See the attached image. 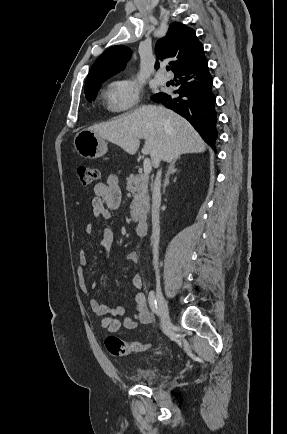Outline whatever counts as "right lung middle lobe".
<instances>
[{"instance_id": "dd1d6c3e", "label": "right lung middle lobe", "mask_w": 287, "mask_h": 434, "mask_svg": "<svg viewBox=\"0 0 287 434\" xmlns=\"http://www.w3.org/2000/svg\"><path fill=\"white\" fill-rule=\"evenodd\" d=\"M103 81H105V80L93 82V83L85 85V96L89 102H91L92 100L95 99L96 94H97V90L100 88L101 83Z\"/></svg>"}]
</instances>
